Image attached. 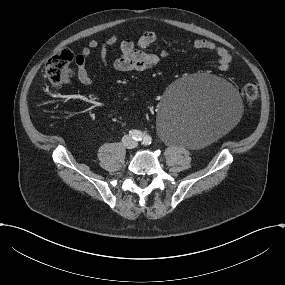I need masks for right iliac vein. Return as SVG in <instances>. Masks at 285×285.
Segmentation results:
<instances>
[{
    "instance_id": "1",
    "label": "right iliac vein",
    "mask_w": 285,
    "mask_h": 285,
    "mask_svg": "<svg viewBox=\"0 0 285 285\" xmlns=\"http://www.w3.org/2000/svg\"><path fill=\"white\" fill-rule=\"evenodd\" d=\"M122 141H123V144L125 146H127V147L132 146L133 142H132V140H131V138L129 136H124ZM127 143H130V145H128Z\"/></svg>"
}]
</instances>
